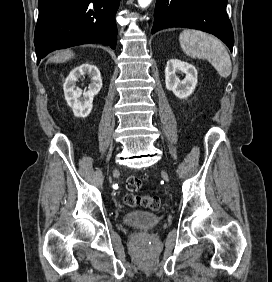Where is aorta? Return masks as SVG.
<instances>
[{
  "label": "aorta",
  "mask_w": 272,
  "mask_h": 282,
  "mask_svg": "<svg viewBox=\"0 0 272 282\" xmlns=\"http://www.w3.org/2000/svg\"><path fill=\"white\" fill-rule=\"evenodd\" d=\"M152 0H138L139 6L144 9L151 4Z\"/></svg>",
  "instance_id": "obj_1"
}]
</instances>
